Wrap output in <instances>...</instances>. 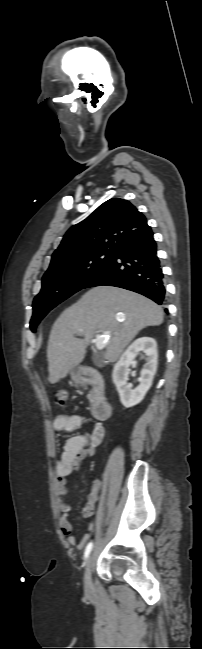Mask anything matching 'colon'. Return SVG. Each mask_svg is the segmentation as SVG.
Segmentation results:
<instances>
[{"mask_svg":"<svg viewBox=\"0 0 202 649\" xmlns=\"http://www.w3.org/2000/svg\"><path fill=\"white\" fill-rule=\"evenodd\" d=\"M68 393L65 390H59L55 394V401L58 405L64 406L67 403Z\"/></svg>","mask_w":202,"mask_h":649,"instance_id":"1","label":"colon"}]
</instances>
